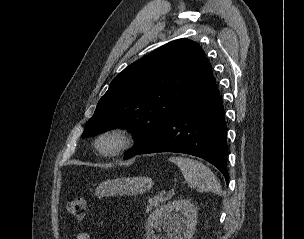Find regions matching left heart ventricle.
Instances as JSON below:
<instances>
[{
    "label": "left heart ventricle",
    "mask_w": 304,
    "mask_h": 239,
    "mask_svg": "<svg viewBox=\"0 0 304 239\" xmlns=\"http://www.w3.org/2000/svg\"><path fill=\"white\" fill-rule=\"evenodd\" d=\"M112 145V142L111 141H108L105 143V146H111Z\"/></svg>",
    "instance_id": "left-heart-ventricle-1"
}]
</instances>
